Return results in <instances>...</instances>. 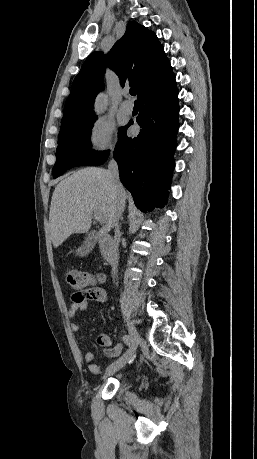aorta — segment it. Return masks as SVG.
<instances>
[{"instance_id": "obj_1", "label": "aorta", "mask_w": 257, "mask_h": 459, "mask_svg": "<svg viewBox=\"0 0 257 459\" xmlns=\"http://www.w3.org/2000/svg\"><path fill=\"white\" fill-rule=\"evenodd\" d=\"M102 104H103V101L102 100H99L96 104V110L97 111H100L102 109Z\"/></svg>"}]
</instances>
